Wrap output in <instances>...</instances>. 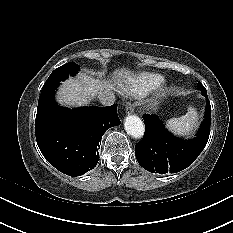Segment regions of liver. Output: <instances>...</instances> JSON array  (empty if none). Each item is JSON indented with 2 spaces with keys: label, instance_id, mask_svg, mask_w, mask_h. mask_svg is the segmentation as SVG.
I'll return each instance as SVG.
<instances>
[{
  "label": "liver",
  "instance_id": "1",
  "mask_svg": "<svg viewBox=\"0 0 233 233\" xmlns=\"http://www.w3.org/2000/svg\"><path fill=\"white\" fill-rule=\"evenodd\" d=\"M132 79V72L122 68L113 74V81H101L81 73L76 79L63 82L58 91L57 101L61 105L82 106L101 93L111 92L116 84L127 83Z\"/></svg>",
  "mask_w": 233,
  "mask_h": 233
}]
</instances>
